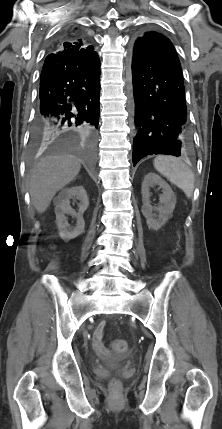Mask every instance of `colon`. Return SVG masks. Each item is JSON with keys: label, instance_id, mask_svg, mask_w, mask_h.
<instances>
[{"label": "colon", "instance_id": "5ec220e1", "mask_svg": "<svg viewBox=\"0 0 222 429\" xmlns=\"http://www.w3.org/2000/svg\"><path fill=\"white\" fill-rule=\"evenodd\" d=\"M111 347L113 350H115L116 352H120V353L126 352L129 349V345H128L127 341L122 340V339H117V340L112 341ZM119 385L120 384H119L118 380H113L111 382V386L115 389H117L119 387Z\"/></svg>", "mask_w": 222, "mask_h": 429}]
</instances>
